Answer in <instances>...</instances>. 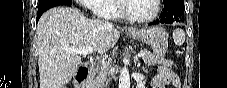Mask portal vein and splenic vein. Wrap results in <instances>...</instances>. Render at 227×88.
Instances as JSON below:
<instances>
[{
	"instance_id": "1",
	"label": "portal vein and splenic vein",
	"mask_w": 227,
	"mask_h": 88,
	"mask_svg": "<svg viewBox=\"0 0 227 88\" xmlns=\"http://www.w3.org/2000/svg\"><path fill=\"white\" fill-rule=\"evenodd\" d=\"M65 50L69 53L79 54V55H86V54L93 53V49L91 47H82V48H78V49H65ZM146 54L147 53H145L144 51H141L140 53L137 54V56L143 57ZM105 58H107V55L105 56Z\"/></svg>"
}]
</instances>
